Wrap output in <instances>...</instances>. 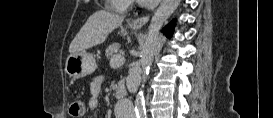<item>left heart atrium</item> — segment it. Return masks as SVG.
Returning a JSON list of instances; mask_svg holds the SVG:
<instances>
[{
	"mask_svg": "<svg viewBox=\"0 0 273 118\" xmlns=\"http://www.w3.org/2000/svg\"><path fill=\"white\" fill-rule=\"evenodd\" d=\"M158 0H140V3L145 4V5H151L154 3H157Z\"/></svg>",
	"mask_w": 273,
	"mask_h": 118,
	"instance_id": "obj_1",
	"label": "left heart atrium"
}]
</instances>
